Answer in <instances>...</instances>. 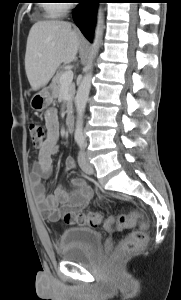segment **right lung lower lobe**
<instances>
[{"label": "right lung lower lobe", "instance_id": "obj_1", "mask_svg": "<svg viewBox=\"0 0 181 300\" xmlns=\"http://www.w3.org/2000/svg\"><path fill=\"white\" fill-rule=\"evenodd\" d=\"M99 0H81L73 11V19L84 36L92 41Z\"/></svg>", "mask_w": 181, "mask_h": 300}]
</instances>
